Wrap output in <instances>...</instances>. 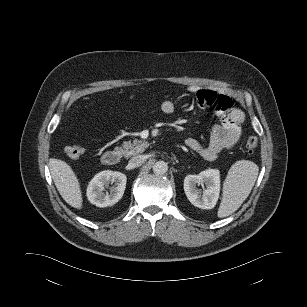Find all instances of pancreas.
I'll use <instances>...</instances> for the list:
<instances>
[{
	"instance_id": "obj_1",
	"label": "pancreas",
	"mask_w": 307,
	"mask_h": 307,
	"mask_svg": "<svg viewBox=\"0 0 307 307\" xmlns=\"http://www.w3.org/2000/svg\"><path fill=\"white\" fill-rule=\"evenodd\" d=\"M148 146L149 143L147 141L135 139L133 141L124 142L119 149L126 158H129L130 156L144 152Z\"/></svg>"
}]
</instances>
